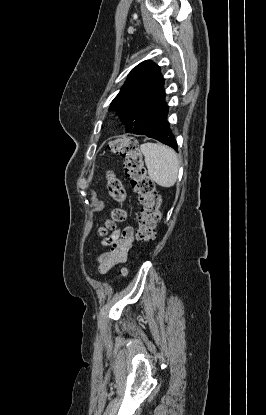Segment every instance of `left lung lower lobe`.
I'll use <instances>...</instances> for the list:
<instances>
[{
    "label": "left lung lower lobe",
    "instance_id": "left-lung-lower-lobe-1",
    "mask_svg": "<svg viewBox=\"0 0 266 415\" xmlns=\"http://www.w3.org/2000/svg\"><path fill=\"white\" fill-rule=\"evenodd\" d=\"M143 135H146L147 137H150V138H154L172 147L173 149L177 150V143L175 140V136L173 135L170 129V124L167 121V119L161 126L149 132H145L143 133Z\"/></svg>",
    "mask_w": 266,
    "mask_h": 415
}]
</instances>
